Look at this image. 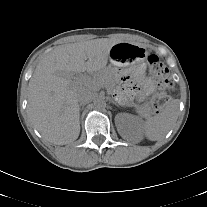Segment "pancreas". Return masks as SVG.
I'll return each instance as SVG.
<instances>
[{"label": "pancreas", "mask_w": 207, "mask_h": 207, "mask_svg": "<svg viewBox=\"0 0 207 207\" xmlns=\"http://www.w3.org/2000/svg\"><path fill=\"white\" fill-rule=\"evenodd\" d=\"M99 87H105L108 91L112 93H116L115 83L113 78L107 73H99L93 79ZM93 90H97V88L92 87ZM137 112L143 117H149L151 115V107L149 104H141L137 106Z\"/></svg>", "instance_id": "cf45deb5"}]
</instances>
